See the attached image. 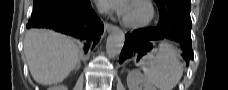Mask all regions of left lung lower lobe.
Segmentation results:
<instances>
[{"mask_svg": "<svg viewBox=\"0 0 228 90\" xmlns=\"http://www.w3.org/2000/svg\"><path fill=\"white\" fill-rule=\"evenodd\" d=\"M185 21L173 19L171 17L160 16L157 27L135 30L125 36V44L122 49L119 62L122 63L125 59L130 58L134 51L133 48L144 46V42L156 39H171L178 42L183 49V58L186 64L194 59L191 41V18H185Z\"/></svg>", "mask_w": 228, "mask_h": 90, "instance_id": "obj_1", "label": "left lung lower lobe"}]
</instances>
